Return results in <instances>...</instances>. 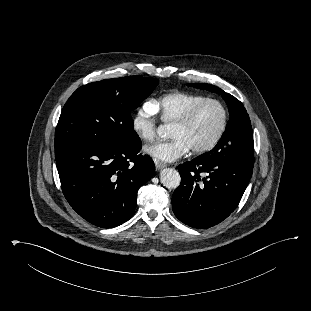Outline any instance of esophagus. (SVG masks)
<instances>
[{
	"mask_svg": "<svg viewBox=\"0 0 311 311\" xmlns=\"http://www.w3.org/2000/svg\"><path fill=\"white\" fill-rule=\"evenodd\" d=\"M167 165L165 163H162L160 161H157L155 160V167H156V170L159 171L161 170L162 168L166 167Z\"/></svg>",
	"mask_w": 311,
	"mask_h": 311,
	"instance_id": "34e87169",
	"label": "esophagus"
}]
</instances>
